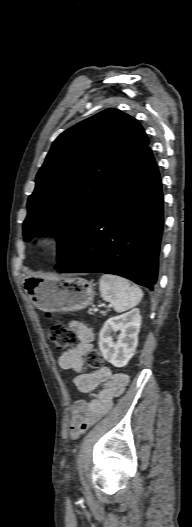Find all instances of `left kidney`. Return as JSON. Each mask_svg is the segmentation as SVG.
I'll use <instances>...</instances> for the list:
<instances>
[{
  "mask_svg": "<svg viewBox=\"0 0 192 527\" xmlns=\"http://www.w3.org/2000/svg\"><path fill=\"white\" fill-rule=\"evenodd\" d=\"M141 326L139 309L109 318L99 334V349L115 367H124L135 354ZM120 331L116 341L112 335Z\"/></svg>",
  "mask_w": 192,
  "mask_h": 527,
  "instance_id": "1",
  "label": "left kidney"
}]
</instances>
